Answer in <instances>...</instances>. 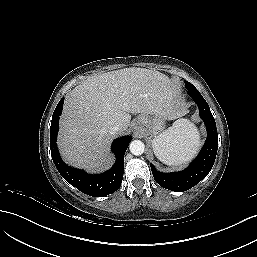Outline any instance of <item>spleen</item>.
<instances>
[{
  "label": "spleen",
  "instance_id": "spleen-1",
  "mask_svg": "<svg viewBox=\"0 0 257 257\" xmlns=\"http://www.w3.org/2000/svg\"><path fill=\"white\" fill-rule=\"evenodd\" d=\"M199 146L198 130L187 119H178L152 141L156 157L167 165H182L188 162Z\"/></svg>",
  "mask_w": 257,
  "mask_h": 257
}]
</instances>
